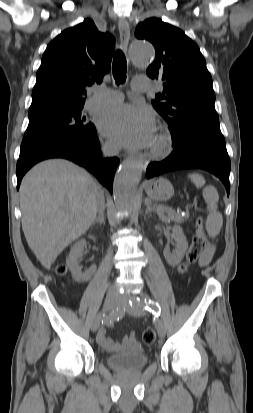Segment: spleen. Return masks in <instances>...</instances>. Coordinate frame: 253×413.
Returning <instances> with one entry per match:
<instances>
[{"label": "spleen", "instance_id": "1", "mask_svg": "<svg viewBox=\"0 0 253 413\" xmlns=\"http://www.w3.org/2000/svg\"><path fill=\"white\" fill-rule=\"evenodd\" d=\"M188 177L197 188L205 185V179L201 174L192 173L189 174ZM203 197L207 204L208 210L206 230L210 237H216L219 234L223 224L222 214L217 210L219 194L214 186L209 185L203 189Z\"/></svg>", "mask_w": 253, "mask_h": 413}]
</instances>
